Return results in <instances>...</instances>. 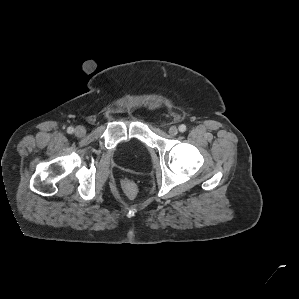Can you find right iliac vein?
I'll return each instance as SVG.
<instances>
[{
	"instance_id": "63e3f726",
	"label": "right iliac vein",
	"mask_w": 299,
	"mask_h": 299,
	"mask_svg": "<svg viewBox=\"0 0 299 299\" xmlns=\"http://www.w3.org/2000/svg\"><path fill=\"white\" fill-rule=\"evenodd\" d=\"M86 134V129L83 126H77L75 129V135L77 137H82Z\"/></svg>"
}]
</instances>
